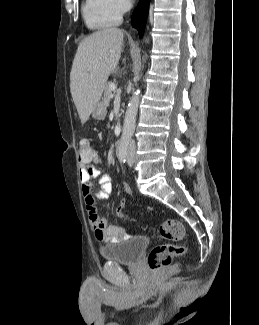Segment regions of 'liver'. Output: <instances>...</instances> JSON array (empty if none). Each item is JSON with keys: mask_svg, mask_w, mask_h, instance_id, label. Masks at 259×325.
I'll return each instance as SVG.
<instances>
[{"mask_svg": "<svg viewBox=\"0 0 259 325\" xmlns=\"http://www.w3.org/2000/svg\"><path fill=\"white\" fill-rule=\"evenodd\" d=\"M124 33L118 28L97 31L78 46L70 73V90L81 123L99 102L109 75L121 57Z\"/></svg>", "mask_w": 259, "mask_h": 325, "instance_id": "1", "label": "liver"}]
</instances>
